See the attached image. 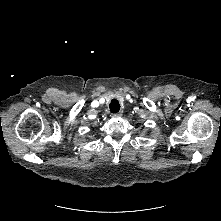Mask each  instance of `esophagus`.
<instances>
[{"label": "esophagus", "instance_id": "obj_1", "mask_svg": "<svg viewBox=\"0 0 221 221\" xmlns=\"http://www.w3.org/2000/svg\"><path fill=\"white\" fill-rule=\"evenodd\" d=\"M121 113L120 112H118V113H114V114H112V117H115V118H117V117H121Z\"/></svg>", "mask_w": 221, "mask_h": 221}]
</instances>
